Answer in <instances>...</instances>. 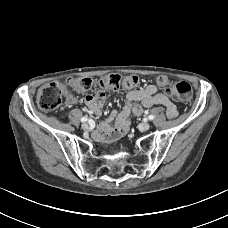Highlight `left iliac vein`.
I'll return each instance as SVG.
<instances>
[{"mask_svg": "<svg viewBox=\"0 0 228 228\" xmlns=\"http://www.w3.org/2000/svg\"><path fill=\"white\" fill-rule=\"evenodd\" d=\"M139 129L141 131H147L150 129V124L148 122H143V123L139 124Z\"/></svg>", "mask_w": 228, "mask_h": 228, "instance_id": "1", "label": "left iliac vein"}]
</instances>
